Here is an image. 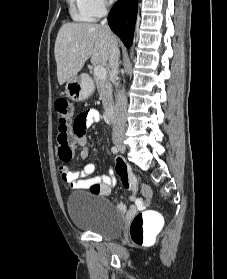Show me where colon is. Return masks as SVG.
<instances>
[{
  "label": "colon",
  "instance_id": "1",
  "mask_svg": "<svg viewBox=\"0 0 227 279\" xmlns=\"http://www.w3.org/2000/svg\"><path fill=\"white\" fill-rule=\"evenodd\" d=\"M57 119V151L63 161L74 156L73 136L82 133L85 129L86 113L74 116L72 105L65 99H58L54 103ZM119 174L128 171L125 165H118ZM90 189L99 191L98 184H92ZM159 218L151 211L139 212L132 220L130 236L134 243L140 244L149 241L158 230Z\"/></svg>",
  "mask_w": 227,
  "mask_h": 279
}]
</instances>
